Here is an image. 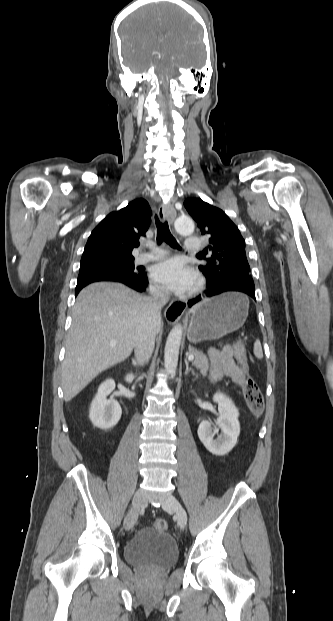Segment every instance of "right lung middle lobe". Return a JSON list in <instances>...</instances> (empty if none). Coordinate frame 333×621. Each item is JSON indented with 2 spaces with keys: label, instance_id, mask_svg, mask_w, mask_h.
Segmentation results:
<instances>
[{
  "label": "right lung middle lobe",
  "instance_id": "1",
  "mask_svg": "<svg viewBox=\"0 0 333 621\" xmlns=\"http://www.w3.org/2000/svg\"><path fill=\"white\" fill-rule=\"evenodd\" d=\"M90 270H107L118 273L137 272L134 266V257H97L83 258L79 272Z\"/></svg>",
  "mask_w": 333,
  "mask_h": 621
}]
</instances>
